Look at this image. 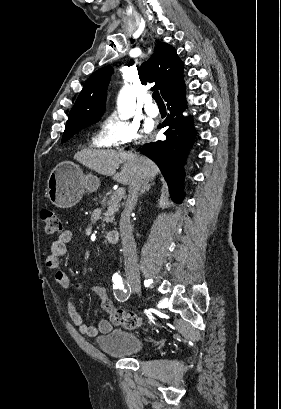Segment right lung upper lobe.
<instances>
[{
  "label": "right lung upper lobe",
  "instance_id": "1",
  "mask_svg": "<svg viewBox=\"0 0 281 409\" xmlns=\"http://www.w3.org/2000/svg\"><path fill=\"white\" fill-rule=\"evenodd\" d=\"M112 73L113 69L105 66L89 77L68 115L66 127H79L100 119ZM138 74L141 83L156 82L153 88L160 90L165 99L183 81V63L172 46L159 43L151 58L141 65Z\"/></svg>",
  "mask_w": 281,
  "mask_h": 409
}]
</instances>
